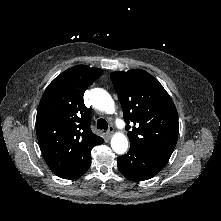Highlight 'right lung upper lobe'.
I'll use <instances>...</instances> for the list:
<instances>
[{"label":"right lung upper lobe","mask_w":221,"mask_h":221,"mask_svg":"<svg viewBox=\"0 0 221 221\" xmlns=\"http://www.w3.org/2000/svg\"><path fill=\"white\" fill-rule=\"evenodd\" d=\"M102 70L78 65L61 73L45 90L37 110L38 142L49 168L60 175L91 157L94 146L104 140L90 128L85 90Z\"/></svg>","instance_id":"right-lung-upper-lobe-1"}]
</instances>
